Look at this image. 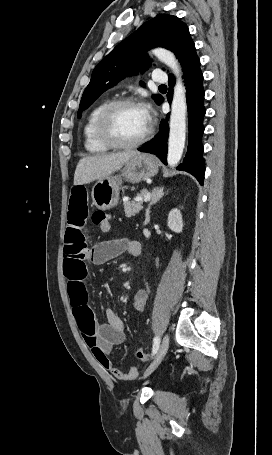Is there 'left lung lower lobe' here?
<instances>
[{
	"mask_svg": "<svg viewBox=\"0 0 272 455\" xmlns=\"http://www.w3.org/2000/svg\"><path fill=\"white\" fill-rule=\"evenodd\" d=\"M183 78L186 86V98L188 107L189 135L188 149L183 163L177 169L191 173L203 185L204 180V159L202 158L203 146L201 143L202 134L204 132L203 117L205 109L203 105L204 90L202 86L203 75L200 70V60L196 58L189 61L183 67ZM174 86V77L169 75V92L167 94L168 101L171 103ZM163 102L161 98L158 104ZM168 117L161 121L160 132L151 141L147 142L143 147L138 148L141 152H149L155 154L164 164L167 154V139L169 133Z\"/></svg>",
	"mask_w": 272,
	"mask_h": 455,
	"instance_id": "left-lung-lower-lobe-1",
	"label": "left lung lower lobe"
}]
</instances>
